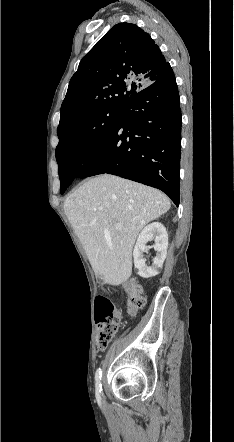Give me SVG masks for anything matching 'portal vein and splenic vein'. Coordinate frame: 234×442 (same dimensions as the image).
I'll list each match as a JSON object with an SVG mask.
<instances>
[{"label":"portal vein and splenic vein","mask_w":234,"mask_h":442,"mask_svg":"<svg viewBox=\"0 0 234 442\" xmlns=\"http://www.w3.org/2000/svg\"><path fill=\"white\" fill-rule=\"evenodd\" d=\"M115 228L117 229V230H119V229H121L122 228V225L121 224H119V223H115Z\"/></svg>","instance_id":"1"}]
</instances>
